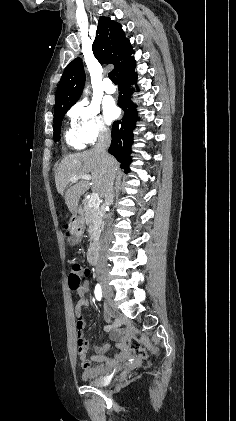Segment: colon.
I'll return each instance as SVG.
<instances>
[{"label": "colon", "mask_w": 236, "mask_h": 421, "mask_svg": "<svg viewBox=\"0 0 236 421\" xmlns=\"http://www.w3.org/2000/svg\"><path fill=\"white\" fill-rule=\"evenodd\" d=\"M89 276V270L80 264H74L69 271V286L73 291L81 290ZM129 348L140 358L147 359V350L152 349L149 339L146 335L132 336L129 339ZM84 350L83 342L79 339V353Z\"/></svg>", "instance_id": "obj_1"}]
</instances>
